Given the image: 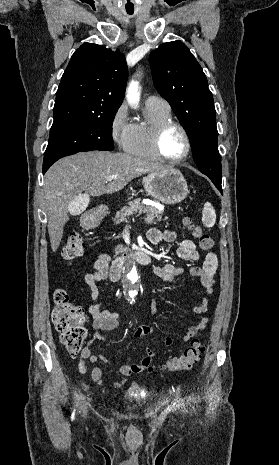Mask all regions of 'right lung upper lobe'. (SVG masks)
<instances>
[{
	"instance_id": "1",
	"label": "right lung upper lobe",
	"mask_w": 279,
	"mask_h": 465,
	"mask_svg": "<svg viewBox=\"0 0 279 465\" xmlns=\"http://www.w3.org/2000/svg\"><path fill=\"white\" fill-rule=\"evenodd\" d=\"M125 57L84 43L71 57L56 93L53 125L118 110L127 82Z\"/></svg>"
}]
</instances>
